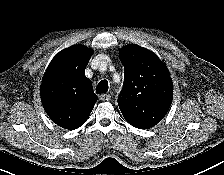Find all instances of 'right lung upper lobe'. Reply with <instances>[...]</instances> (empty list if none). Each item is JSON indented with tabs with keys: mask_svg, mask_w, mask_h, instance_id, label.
<instances>
[{
	"mask_svg": "<svg viewBox=\"0 0 224 175\" xmlns=\"http://www.w3.org/2000/svg\"><path fill=\"white\" fill-rule=\"evenodd\" d=\"M92 51L74 45L59 52L49 64L41 85V100L50 119L74 130L88 119L97 96L85 68Z\"/></svg>",
	"mask_w": 224,
	"mask_h": 175,
	"instance_id": "1",
	"label": "right lung upper lobe"
}]
</instances>
